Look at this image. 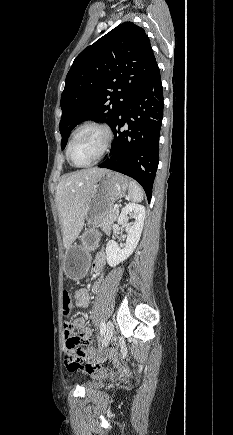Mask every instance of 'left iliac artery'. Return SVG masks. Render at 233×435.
Instances as JSON below:
<instances>
[{
	"label": "left iliac artery",
	"mask_w": 233,
	"mask_h": 435,
	"mask_svg": "<svg viewBox=\"0 0 233 435\" xmlns=\"http://www.w3.org/2000/svg\"><path fill=\"white\" fill-rule=\"evenodd\" d=\"M105 331H106V325H105L104 322H101V324H100V333H101V335H104Z\"/></svg>",
	"instance_id": "left-iliac-artery-1"
}]
</instances>
